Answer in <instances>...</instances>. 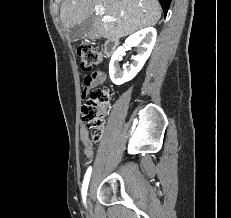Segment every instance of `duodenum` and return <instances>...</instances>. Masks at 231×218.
<instances>
[{
    "label": "duodenum",
    "mask_w": 231,
    "mask_h": 218,
    "mask_svg": "<svg viewBox=\"0 0 231 218\" xmlns=\"http://www.w3.org/2000/svg\"><path fill=\"white\" fill-rule=\"evenodd\" d=\"M117 48V40L114 38L107 39L105 43V50L107 54L111 55L115 52Z\"/></svg>",
    "instance_id": "410a0bca"
}]
</instances>
